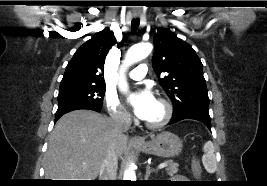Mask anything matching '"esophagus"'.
<instances>
[{
	"instance_id": "obj_1",
	"label": "esophagus",
	"mask_w": 267,
	"mask_h": 186,
	"mask_svg": "<svg viewBox=\"0 0 267 186\" xmlns=\"http://www.w3.org/2000/svg\"><path fill=\"white\" fill-rule=\"evenodd\" d=\"M130 141H131V143H134V144H142L143 143V140L138 136H133Z\"/></svg>"
}]
</instances>
